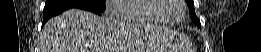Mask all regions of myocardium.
<instances>
[{
    "instance_id": "f54148a6",
    "label": "myocardium",
    "mask_w": 261,
    "mask_h": 52,
    "mask_svg": "<svg viewBox=\"0 0 261 52\" xmlns=\"http://www.w3.org/2000/svg\"><path fill=\"white\" fill-rule=\"evenodd\" d=\"M177 4L180 5V7L182 8V16L180 19H178L176 21H170L164 17V13L171 7V3L168 0H158L157 1V7L155 9L157 10L158 14L161 16V18L163 19V21L166 24L176 25V24L181 23L184 20V18L186 16V12H187L185 1L177 0Z\"/></svg>"
}]
</instances>
